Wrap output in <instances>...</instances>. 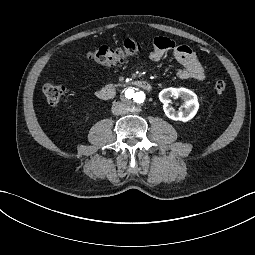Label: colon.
<instances>
[{"instance_id": "colon-1", "label": "colon", "mask_w": 255, "mask_h": 255, "mask_svg": "<svg viewBox=\"0 0 255 255\" xmlns=\"http://www.w3.org/2000/svg\"><path fill=\"white\" fill-rule=\"evenodd\" d=\"M141 50L142 46L137 40L126 39L120 48L100 46L88 52V57L97 63L111 65L132 57ZM214 88L217 93L224 92L226 89L225 81L217 80ZM66 93L67 87L61 83H48L43 86V94L47 102L52 106L57 105Z\"/></svg>"}]
</instances>
